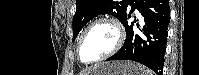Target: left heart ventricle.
Masks as SVG:
<instances>
[{"mask_svg": "<svg viewBox=\"0 0 199 75\" xmlns=\"http://www.w3.org/2000/svg\"><path fill=\"white\" fill-rule=\"evenodd\" d=\"M115 40L113 28L105 24L97 25L84 37L80 57L85 62L93 61L111 50Z\"/></svg>", "mask_w": 199, "mask_h": 75, "instance_id": "obj_1", "label": "left heart ventricle"}]
</instances>
